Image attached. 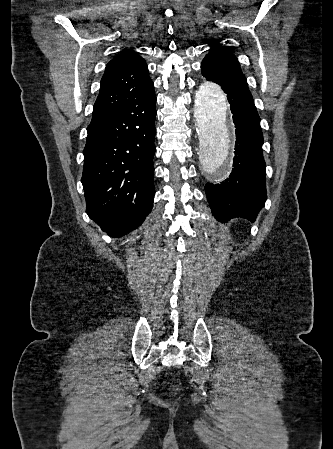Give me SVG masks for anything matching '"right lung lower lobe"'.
I'll list each match as a JSON object with an SVG mask.
<instances>
[{
    "label": "right lung lower lobe",
    "instance_id": "1",
    "mask_svg": "<svg viewBox=\"0 0 333 449\" xmlns=\"http://www.w3.org/2000/svg\"><path fill=\"white\" fill-rule=\"evenodd\" d=\"M154 86L87 128L81 182L86 212L110 236L142 224L154 199Z\"/></svg>",
    "mask_w": 333,
    "mask_h": 449
}]
</instances>
